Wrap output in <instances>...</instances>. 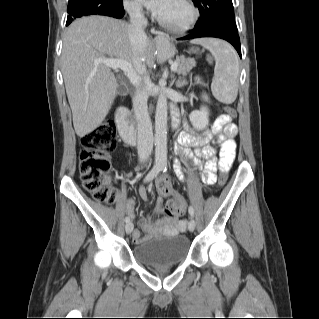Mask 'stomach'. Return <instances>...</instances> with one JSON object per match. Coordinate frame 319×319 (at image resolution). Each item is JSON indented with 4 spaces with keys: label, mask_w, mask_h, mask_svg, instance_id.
Masks as SVG:
<instances>
[{
    "label": "stomach",
    "mask_w": 319,
    "mask_h": 319,
    "mask_svg": "<svg viewBox=\"0 0 319 319\" xmlns=\"http://www.w3.org/2000/svg\"><path fill=\"white\" fill-rule=\"evenodd\" d=\"M158 50L163 60L173 57L176 52L175 47L167 38H162L158 42Z\"/></svg>",
    "instance_id": "stomach-1"
}]
</instances>
